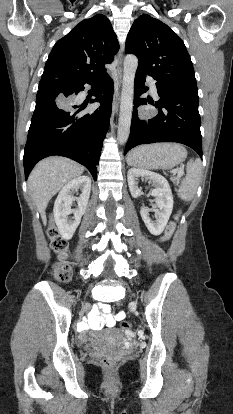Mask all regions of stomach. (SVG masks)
<instances>
[{
    "mask_svg": "<svg viewBox=\"0 0 233 414\" xmlns=\"http://www.w3.org/2000/svg\"><path fill=\"white\" fill-rule=\"evenodd\" d=\"M186 149L175 143L144 145L127 156L130 165L147 169H171L185 160Z\"/></svg>",
    "mask_w": 233,
    "mask_h": 414,
    "instance_id": "obj_1",
    "label": "stomach"
}]
</instances>
